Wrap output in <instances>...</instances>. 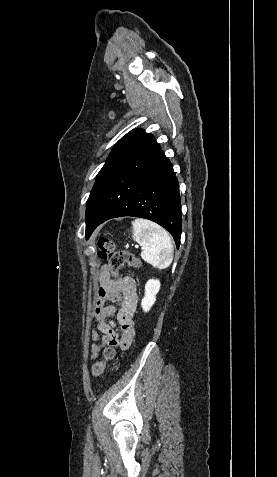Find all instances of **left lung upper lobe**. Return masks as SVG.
Segmentation results:
<instances>
[{"instance_id":"1","label":"left lung upper lobe","mask_w":277,"mask_h":477,"mask_svg":"<svg viewBox=\"0 0 277 477\" xmlns=\"http://www.w3.org/2000/svg\"><path fill=\"white\" fill-rule=\"evenodd\" d=\"M153 135L142 129L129 132L114 146L106 163L97 175L95 184L86 203V222L91 218L98 198L113 173L137 150L153 139Z\"/></svg>"}]
</instances>
